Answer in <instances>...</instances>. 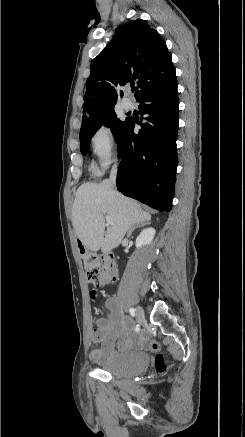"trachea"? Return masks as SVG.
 Here are the masks:
<instances>
[{
	"mask_svg": "<svg viewBox=\"0 0 245 437\" xmlns=\"http://www.w3.org/2000/svg\"><path fill=\"white\" fill-rule=\"evenodd\" d=\"M131 90H132V92H133V91H134V88H132Z\"/></svg>",
	"mask_w": 245,
	"mask_h": 437,
	"instance_id": "1",
	"label": "trachea"
}]
</instances>
